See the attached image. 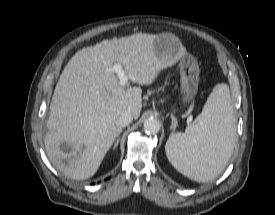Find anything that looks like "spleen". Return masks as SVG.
Returning a JSON list of instances; mask_svg holds the SVG:
<instances>
[{
  "label": "spleen",
  "instance_id": "spleen-1",
  "mask_svg": "<svg viewBox=\"0 0 275 215\" xmlns=\"http://www.w3.org/2000/svg\"><path fill=\"white\" fill-rule=\"evenodd\" d=\"M236 120L227 84H217L201 114L184 134H172L165 151L184 176L208 182L227 165L235 145Z\"/></svg>",
  "mask_w": 275,
  "mask_h": 215
}]
</instances>
